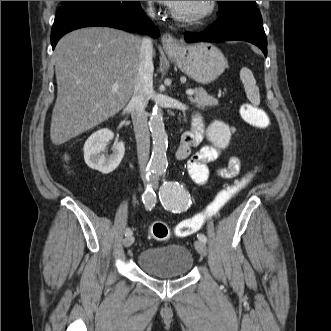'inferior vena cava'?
<instances>
[{
	"label": "inferior vena cava",
	"instance_id": "inferior-vena-cava-1",
	"mask_svg": "<svg viewBox=\"0 0 331 331\" xmlns=\"http://www.w3.org/2000/svg\"><path fill=\"white\" fill-rule=\"evenodd\" d=\"M154 17L152 11L149 12ZM152 39L144 37L141 42L140 64L138 76L134 86V93L130 101L131 117L137 143V155L141 173H145L150 155V133L147 124L145 108L151 98L153 90Z\"/></svg>",
	"mask_w": 331,
	"mask_h": 331
}]
</instances>
